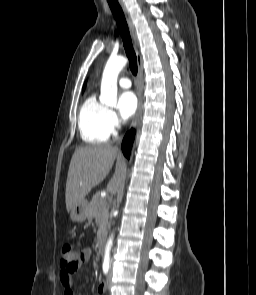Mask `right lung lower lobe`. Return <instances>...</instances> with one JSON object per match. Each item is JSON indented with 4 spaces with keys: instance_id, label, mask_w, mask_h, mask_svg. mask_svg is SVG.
<instances>
[{
    "instance_id": "98d812e1",
    "label": "right lung lower lobe",
    "mask_w": 256,
    "mask_h": 295,
    "mask_svg": "<svg viewBox=\"0 0 256 295\" xmlns=\"http://www.w3.org/2000/svg\"><path fill=\"white\" fill-rule=\"evenodd\" d=\"M134 130L132 129L131 131H129L124 139H123V142H122V151H123V154L129 158L130 156V151H131V147H132V143H133V140H134Z\"/></svg>"
}]
</instances>
